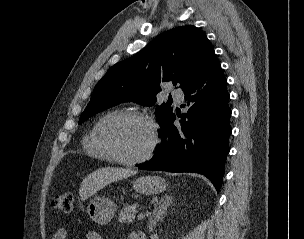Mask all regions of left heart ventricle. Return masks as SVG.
Instances as JSON below:
<instances>
[{"instance_id":"left-heart-ventricle-1","label":"left heart ventricle","mask_w":304,"mask_h":239,"mask_svg":"<svg viewBox=\"0 0 304 239\" xmlns=\"http://www.w3.org/2000/svg\"><path fill=\"white\" fill-rule=\"evenodd\" d=\"M109 138L120 156L135 158L147 150L152 134L146 123L138 120H126L110 130Z\"/></svg>"}]
</instances>
